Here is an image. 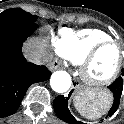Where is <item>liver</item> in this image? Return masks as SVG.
I'll use <instances>...</instances> for the list:
<instances>
[{
    "instance_id": "obj_1",
    "label": "liver",
    "mask_w": 124,
    "mask_h": 124,
    "mask_svg": "<svg viewBox=\"0 0 124 124\" xmlns=\"http://www.w3.org/2000/svg\"><path fill=\"white\" fill-rule=\"evenodd\" d=\"M46 40L40 38H34L29 40L25 45V52L27 55L37 52L45 55Z\"/></svg>"
}]
</instances>
